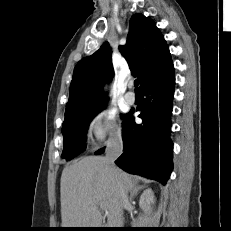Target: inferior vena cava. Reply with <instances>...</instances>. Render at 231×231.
<instances>
[{
    "instance_id": "1",
    "label": "inferior vena cava",
    "mask_w": 231,
    "mask_h": 231,
    "mask_svg": "<svg viewBox=\"0 0 231 231\" xmlns=\"http://www.w3.org/2000/svg\"><path fill=\"white\" fill-rule=\"evenodd\" d=\"M123 152V141L120 133H115L110 136L107 141L106 150H105V162L110 170L114 167V161L122 154ZM128 203V197L126 193H122L121 204L125 206Z\"/></svg>"
}]
</instances>
